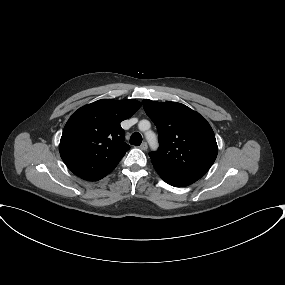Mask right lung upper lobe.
I'll return each instance as SVG.
<instances>
[{
    "label": "right lung upper lobe",
    "instance_id": "right-lung-upper-lobe-1",
    "mask_svg": "<svg viewBox=\"0 0 285 285\" xmlns=\"http://www.w3.org/2000/svg\"><path fill=\"white\" fill-rule=\"evenodd\" d=\"M140 107L133 99H101L79 108L67 121L60 140L59 152L67 167L87 181L108 175L130 149L120 122Z\"/></svg>",
    "mask_w": 285,
    "mask_h": 285
}]
</instances>
